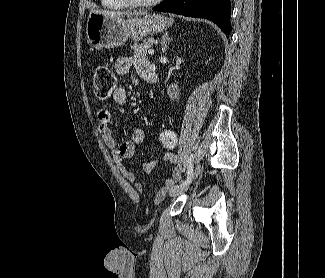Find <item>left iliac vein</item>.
I'll use <instances>...</instances> for the list:
<instances>
[{
    "mask_svg": "<svg viewBox=\"0 0 325 278\" xmlns=\"http://www.w3.org/2000/svg\"><path fill=\"white\" fill-rule=\"evenodd\" d=\"M199 173H200V165H198L196 167V170H195V173H194V176H193L192 179H195L198 176ZM191 182H192V180H191ZM190 183L187 184V185H181L180 184V185H176V186L172 187L170 189V191H169V195L172 196V197H175V196H178V195L182 194L183 192H185L189 188Z\"/></svg>",
    "mask_w": 325,
    "mask_h": 278,
    "instance_id": "1",
    "label": "left iliac vein"
}]
</instances>
